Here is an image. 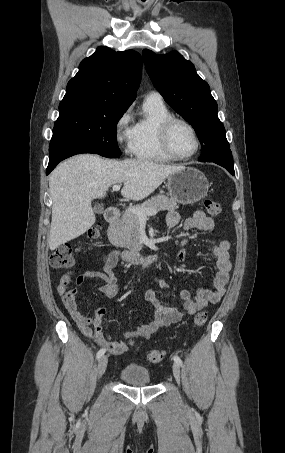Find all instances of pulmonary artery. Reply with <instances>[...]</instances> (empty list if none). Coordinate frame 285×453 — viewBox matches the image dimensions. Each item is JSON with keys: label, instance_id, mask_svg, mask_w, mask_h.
Segmentation results:
<instances>
[{"label": "pulmonary artery", "instance_id": "e3ab8cb5", "mask_svg": "<svg viewBox=\"0 0 285 453\" xmlns=\"http://www.w3.org/2000/svg\"><path fill=\"white\" fill-rule=\"evenodd\" d=\"M148 100L163 102V98L160 93L152 91L147 95Z\"/></svg>", "mask_w": 285, "mask_h": 453}]
</instances>
